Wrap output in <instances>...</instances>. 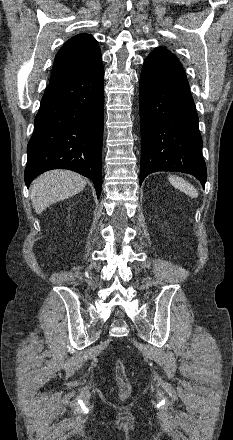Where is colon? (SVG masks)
<instances>
[{
  "mask_svg": "<svg viewBox=\"0 0 233 440\" xmlns=\"http://www.w3.org/2000/svg\"><path fill=\"white\" fill-rule=\"evenodd\" d=\"M116 381L119 387V396L121 399H126L131 392V385L128 380L125 366L121 360L116 363Z\"/></svg>",
  "mask_w": 233,
  "mask_h": 440,
  "instance_id": "colon-1",
  "label": "colon"
}]
</instances>
